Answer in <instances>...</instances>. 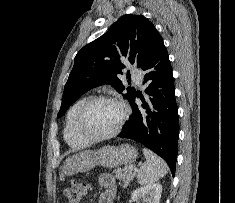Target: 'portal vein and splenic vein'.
Masks as SVG:
<instances>
[{
    "instance_id": "1",
    "label": "portal vein and splenic vein",
    "mask_w": 235,
    "mask_h": 203,
    "mask_svg": "<svg viewBox=\"0 0 235 203\" xmlns=\"http://www.w3.org/2000/svg\"><path fill=\"white\" fill-rule=\"evenodd\" d=\"M134 171H135V172H137V171H138V169H137V168H134Z\"/></svg>"
}]
</instances>
